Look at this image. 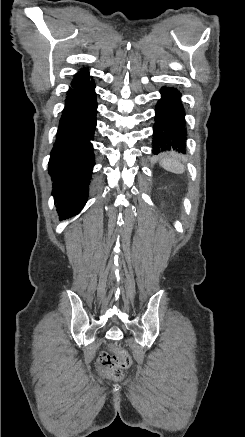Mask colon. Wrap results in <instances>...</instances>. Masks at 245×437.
Returning <instances> with one entry per match:
<instances>
[{
    "mask_svg": "<svg viewBox=\"0 0 245 437\" xmlns=\"http://www.w3.org/2000/svg\"><path fill=\"white\" fill-rule=\"evenodd\" d=\"M131 365L130 355L122 348L114 346L112 352H102L98 357V367L104 376L119 380L123 370Z\"/></svg>",
    "mask_w": 245,
    "mask_h": 437,
    "instance_id": "1",
    "label": "colon"
}]
</instances>
